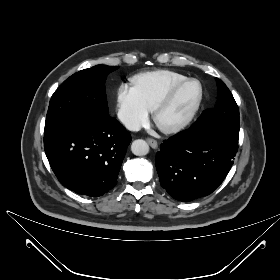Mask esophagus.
Instances as JSON below:
<instances>
[{
    "instance_id": "1",
    "label": "esophagus",
    "mask_w": 280,
    "mask_h": 280,
    "mask_svg": "<svg viewBox=\"0 0 280 280\" xmlns=\"http://www.w3.org/2000/svg\"><path fill=\"white\" fill-rule=\"evenodd\" d=\"M146 141L148 142V144H149L152 148H154V149L157 148L158 143H157L156 140H154V139H152V138H147Z\"/></svg>"
}]
</instances>
